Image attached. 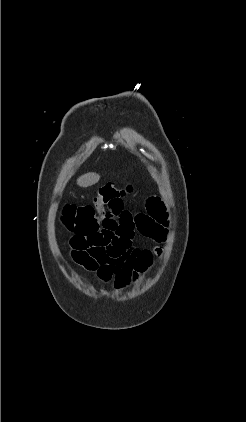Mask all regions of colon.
I'll use <instances>...</instances> for the list:
<instances>
[{
  "label": "colon",
  "instance_id": "1",
  "mask_svg": "<svg viewBox=\"0 0 246 422\" xmlns=\"http://www.w3.org/2000/svg\"><path fill=\"white\" fill-rule=\"evenodd\" d=\"M131 191V185L119 187L115 183H107L99 189L93 203L64 205L62 222L75 234H90L99 227L104 212H107L108 208L118 210L122 205V198ZM152 259L149 250H140L134 262V278L151 265Z\"/></svg>",
  "mask_w": 246,
  "mask_h": 422
}]
</instances>
